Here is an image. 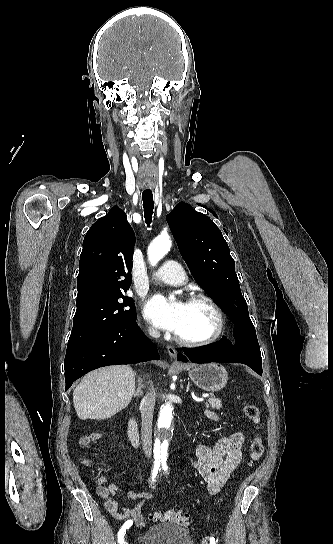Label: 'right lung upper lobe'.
Returning a JSON list of instances; mask_svg holds the SVG:
<instances>
[{
  "label": "right lung upper lobe",
  "instance_id": "obj_1",
  "mask_svg": "<svg viewBox=\"0 0 333 544\" xmlns=\"http://www.w3.org/2000/svg\"><path fill=\"white\" fill-rule=\"evenodd\" d=\"M135 235L118 206L98 219L84 237L77 277V300L127 290L131 284Z\"/></svg>",
  "mask_w": 333,
  "mask_h": 544
}]
</instances>
